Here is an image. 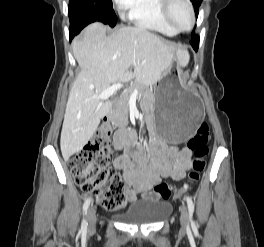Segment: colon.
<instances>
[{
  "label": "colon",
  "mask_w": 264,
  "mask_h": 247,
  "mask_svg": "<svg viewBox=\"0 0 264 247\" xmlns=\"http://www.w3.org/2000/svg\"><path fill=\"white\" fill-rule=\"evenodd\" d=\"M111 133L112 125L104 121L88 144L71 157L69 165L74 181L82 192L92 195L106 210L121 211L126 206L125 184L121 176L109 167L112 156ZM208 136L209 127L202 123L188 141V148L193 151L194 159L191 163L189 183L177 194L187 192L205 169ZM155 193L158 197L168 199L173 190L168 184L160 183L155 187Z\"/></svg>",
  "instance_id": "colon-1"
}]
</instances>
